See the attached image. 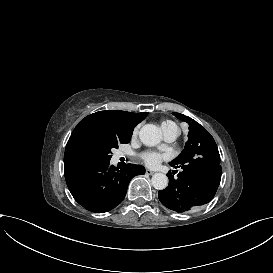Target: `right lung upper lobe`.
<instances>
[{"mask_svg":"<svg viewBox=\"0 0 273 273\" xmlns=\"http://www.w3.org/2000/svg\"><path fill=\"white\" fill-rule=\"evenodd\" d=\"M121 110L99 111L82 119L73 130L65 149L64 174L69 179L80 170L90 166L76 154L78 141L86 134L112 136L118 140L130 141L134 127L146 116Z\"/></svg>","mask_w":273,"mask_h":273,"instance_id":"1","label":"right lung upper lobe"}]
</instances>
